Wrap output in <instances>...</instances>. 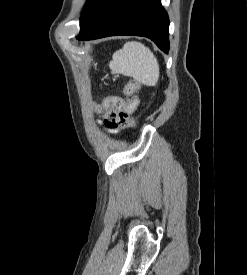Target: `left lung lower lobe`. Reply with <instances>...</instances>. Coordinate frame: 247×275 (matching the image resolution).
Instances as JSON below:
<instances>
[{"mask_svg": "<svg viewBox=\"0 0 247 275\" xmlns=\"http://www.w3.org/2000/svg\"><path fill=\"white\" fill-rule=\"evenodd\" d=\"M114 35L144 36L168 53L169 19L160 0H101L76 38L84 41Z\"/></svg>", "mask_w": 247, "mask_h": 275, "instance_id": "0a47b994", "label": "left lung lower lobe"}]
</instances>
